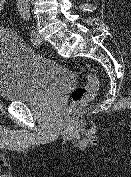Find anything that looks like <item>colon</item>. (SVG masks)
<instances>
[{
  "instance_id": "5ec220e1",
  "label": "colon",
  "mask_w": 131,
  "mask_h": 177,
  "mask_svg": "<svg viewBox=\"0 0 131 177\" xmlns=\"http://www.w3.org/2000/svg\"><path fill=\"white\" fill-rule=\"evenodd\" d=\"M8 0H0V13L6 8ZM87 84L85 86H78L73 89L71 93V110H76L88 102H90L96 95L99 88V80L91 72H87L86 75Z\"/></svg>"
}]
</instances>
